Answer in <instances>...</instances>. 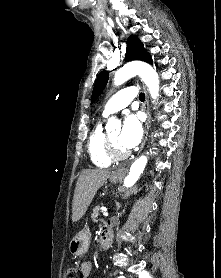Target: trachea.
<instances>
[{"instance_id":"obj_1","label":"trachea","mask_w":221,"mask_h":278,"mask_svg":"<svg viewBox=\"0 0 221 278\" xmlns=\"http://www.w3.org/2000/svg\"><path fill=\"white\" fill-rule=\"evenodd\" d=\"M139 99H140V101H143V102H144V100H145V94H144V93H140V94H139Z\"/></svg>"}]
</instances>
